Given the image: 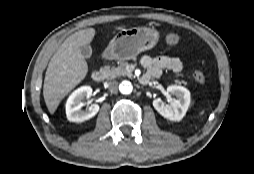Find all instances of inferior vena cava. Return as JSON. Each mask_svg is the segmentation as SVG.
Returning <instances> with one entry per match:
<instances>
[{
	"label": "inferior vena cava",
	"mask_w": 254,
	"mask_h": 174,
	"mask_svg": "<svg viewBox=\"0 0 254 174\" xmlns=\"http://www.w3.org/2000/svg\"><path fill=\"white\" fill-rule=\"evenodd\" d=\"M108 85H109V89H110L111 92H116L117 91V89H118V82L117 81L112 80L108 83Z\"/></svg>",
	"instance_id": "obj_1"
}]
</instances>
